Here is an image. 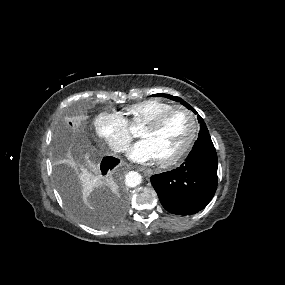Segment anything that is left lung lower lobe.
I'll return each instance as SVG.
<instances>
[{
  "label": "left lung lower lobe",
  "instance_id": "1",
  "mask_svg": "<svg viewBox=\"0 0 285 285\" xmlns=\"http://www.w3.org/2000/svg\"><path fill=\"white\" fill-rule=\"evenodd\" d=\"M217 163L210 135L198 138L179 168L151 177L163 207L177 215L204 209L217 189Z\"/></svg>",
  "mask_w": 285,
  "mask_h": 285
}]
</instances>
